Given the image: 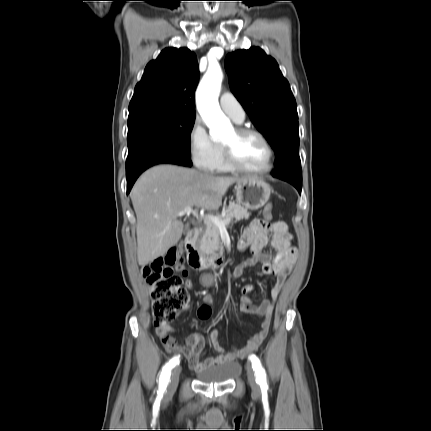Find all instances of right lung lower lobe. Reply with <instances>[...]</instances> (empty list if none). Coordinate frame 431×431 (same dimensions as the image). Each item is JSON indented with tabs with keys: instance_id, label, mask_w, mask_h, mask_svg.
<instances>
[{
	"instance_id": "right-lung-lower-lobe-1",
	"label": "right lung lower lobe",
	"mask_w": 431,
	"mask_h": 431,
	"mask_svg": "<svg viewBox=\"0 0 431 431\" xmlns=\"http://www.w3.org/2000/svg\"><path fill=\"white\" fill-rule=\"evenodd\" d=\"M161 163L192 166L190 156L163 142H148L129 151L126 161L127 191L147 168Z\"/></svg>"
}]
</instances>
